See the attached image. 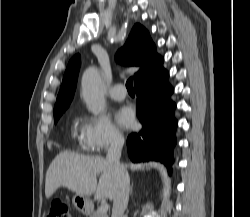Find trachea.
Segmentation results:
<instances>
[{
    "mask_svg": "<svg viewBox=\"0 0 250 217\" xmlns=\"http://www.w3.org/2000/svg\"><path fill=\"white\" fill-rule=\"evenodd\" d=\"M126 88L128 90V92H134V88H133V78H129L126 82Z\"/></svg>",
    "mask_w": 250,
    "mask_h": 217,
    "instance_id": "1",
    "label": "trachea"
}]
</instances>
